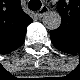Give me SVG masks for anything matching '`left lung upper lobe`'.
Wrapping results in <instances>:
<instances>
[{
    "label": "left lung upper lobe",
    "instance_id": "1",
    "mask_svg": "<svg viewBox=\"0 0 80 80\" xmlns=\"http://www.w3.org/2000/svg\"><path fill=\"white\" fill-rule=\"evenodd\" d=\"M63 17V23L61 24V26L54 31V36H59V37H66L67 36V28L70 29V23L69 20L66 18V12H62ZM68 21V25L66 26ZM66 28V29H65Z\"/></svg>",
    "mask_w": 80,
    "mask_h": 80
}]
</instances>
